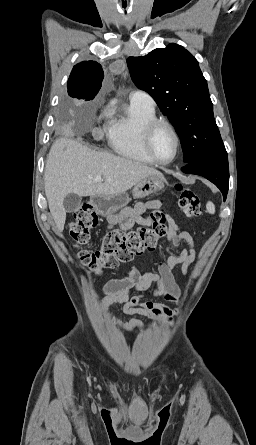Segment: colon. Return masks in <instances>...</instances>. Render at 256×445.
Listing matches in <instances>:
<instances>
[{
    "mask_svg": "<svg viewBox=\"0 0 256 445\" xmlns=\"http://www.w3.org/2000/svg\"><path fill=\"white\" fill-rule=\"evenodd\" d=\"M176 189L180 193L178 204L182 214L189 218L198 217L202 210L199 196L179 184ZM98 223L99 219L91 202H84L81 208L75 211L69 235L77 248L88 243L90 231ZM166 231L165 215L161 209H157L151 212L147 225L130 231L111 230L105 234L100 249H80L78 256L86 267L99 274L102 268H113L118 263L129 262L138 255L155 250Z\"/></svg>",
    "mask_w": 256,
    "mask_h": 445,
    "instance_id": "obj_1",
    "label": "colon"
}]
</instances>
